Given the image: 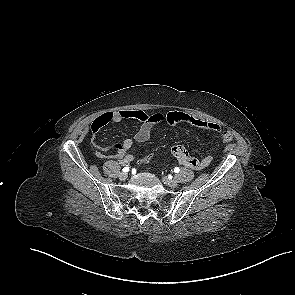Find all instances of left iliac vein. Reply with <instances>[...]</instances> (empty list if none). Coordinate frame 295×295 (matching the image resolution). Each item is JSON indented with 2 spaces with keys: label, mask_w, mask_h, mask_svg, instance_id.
I'll list each match as a JSON object with an SVG mask.
<instances>
[{
  "label": "left iliac vein",
  "mask_w": 295,
  "mask_h": 295,
  "mask_svg": "<svg viewBox=\"0 0 295 295\" xmlns=\"http://www.w3.org/2000/svg\"><path fill=\"white\" fill-rule=\"evenodd\" d=\"M164 184L170 186V187H177L178 183L176 180L168 179L167 177H163Z\"/></svg>",
  "instance_id": "obj_1"
}]
</instances>
